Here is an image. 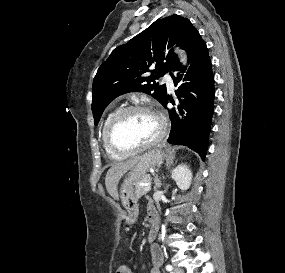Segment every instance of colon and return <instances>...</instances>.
Masks as SVG:
<instances>
[{"label":"colon","instance_id":"colon-1","mask_svg":"<svg viewBox=\"0 0 285 273\" xmlns=\"http://www.w3.org/2000/svg\"><path fill=\"white\" fill-rule=\"evenodd\" d=\"M126 272H127V270L123 267H119L116 271V273H126Z\"/></svg>","mask_w":285,"mask_h":273}]
</instances>
